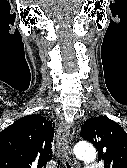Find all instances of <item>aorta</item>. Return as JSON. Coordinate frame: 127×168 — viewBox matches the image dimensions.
Here are the masks:
<instances>
[{
    "mask_svg": "<svg viewBox=\"0 0 127 168\" xmlns=\"http://www.w3.org/2000/svg\"><path fill=\"white\" fill-rule=\"evenodd\" d=\"M75 155L84 163H91L96 159V150L90 143L80 142L74 148Z\"/></svg>",
    "mask_w": 127,
    "mask_h": 168,
    "instance_id": "aorta-1",
    "label": "aorta"
}]
</instances>
